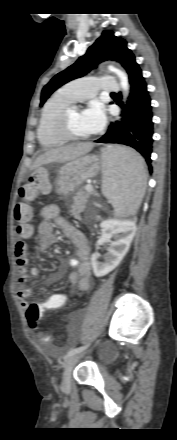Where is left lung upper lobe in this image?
Listing matches in <instances>:
<instances>
[{
  "label": "left lung upper lobe",
  "mask_w": 177,
  "mask_h": 440,
  "mask_svg": "<svg viewBox=\"0 0 177 440\" xmlns=\"http://www.w3.org/2000/svg\"><path fill=\"white\" fill-rule=\"evenodd\" d=\"M105 60L120 62L129 75L139 67L135 61V56L127 48V42L114 35V32L106 30L88 48L86 54L80 57L74 64L64 71L55 75L51 81L43 88L41 93V104L59 87L67 82L80 78L87 74L91 69L96 68L97 64Z\"/></svg>",
  "instance_id": "obj_1"
}]
</instances>
